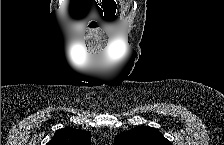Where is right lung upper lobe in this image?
Instances as JSON below:
<instances>
[{
    "mask_svg": "<svg viewBox=\"0 0 224 145\" xmlns=\"http://www.w3.org/2000/svg\"><path fill=\"white\" fill-rule=\"evenodd\" d=\"M91 136L87 131L64 128L56 131L47 145H90Z\"/></svg>",
    "mask_w": 224,
    "mask_h": 145,
    "instance_id": "1",
    "label": "right lung upper lobe"
}]
</instances>
